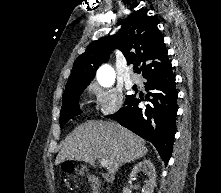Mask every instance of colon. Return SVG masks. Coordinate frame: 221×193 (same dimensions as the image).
I'll return each instance as SVG.
<instances>
[{"instance_id": "5ec220e1", "label": "colon", "mask_w": 221, "mask_h": 193, "mask_svg": "<svg viewBox=\"0 0 221 193\" xmlns=\"http://www.w3.org/2000/svg\"><path fill=\"white\" fill-rule=\"evenodd\" d=\"M73 165H67L65 170L66 171H72L73 170ZM92 184H93V193H98V189H99V184L96 180H92Z\"/></svg>"}]
</instances>
